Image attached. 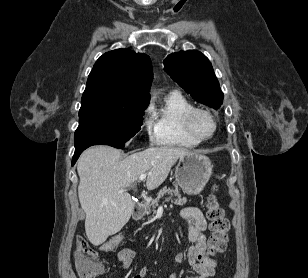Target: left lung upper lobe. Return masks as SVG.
I'll return each mask as SVG.
<instances>
[{
	"label": "left lung upper lobe",
	"instance_id": "obj_1",
	"mask_svg": "<svg viewBox=\"0 0 308 278\" xmlns=\"http://www.w3.org/2000/svg\"><path fill=\"white\" fill-rule=\"evenodd\" d=\"M169 76L192 98L217 109L223 101V93L207 57L197 50L172 53L164 60Z\"/></svg>",
	"mask_w": 308,
	"mask_h": 278
}]
</instances>
